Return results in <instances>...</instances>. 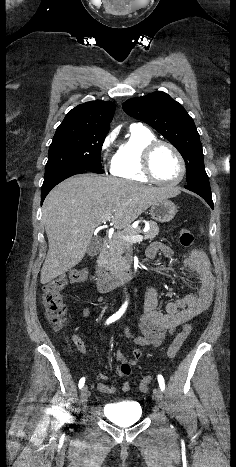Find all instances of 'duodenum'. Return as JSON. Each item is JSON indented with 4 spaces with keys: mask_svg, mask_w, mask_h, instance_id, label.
Instances as JSON below:
<instances>
[{
    "mask_svg": "<svg viewBox=\"0 0 236 467\" xmlns=\"http://www.w3.org/2000/svg\"><path fill=\"white\" fill-rule=\"evenodd\" d=\"M108 240L104 238L101 243L102 252L107 249ZM138 274L134 266H126L119 271L108 272L101 263L93 267V280L100 293H107L127 282Z\"/></svg>",
    "mask_w": 236,
    "mask_h": 467,
    "instance_id": "obj_1",
    "label": "duodenum"
}]
</instances>
